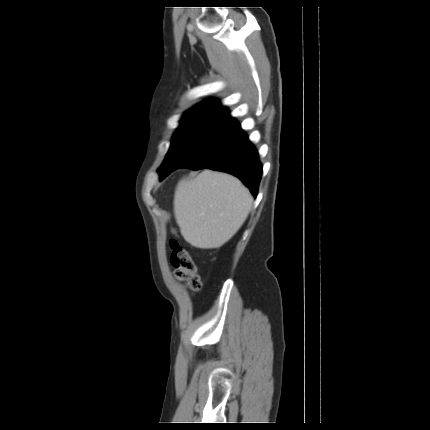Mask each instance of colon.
<instances>
[{
    "mask_svg": "<svg viewBox=\"0 0 430 430\" xmlns=\"http://www.w3.org/2000/svg\"><path fill=\"white\" fill-rule=\"evenodd\" d=\"M168 245L176 279L184 282L192 291H199L201 280L190 253L174 239H171Z\"/></svg>",
    "mask_w": 430,
    "mask_h": 430,
    "instance_id": "colon-1",
    "label": "colon"
}]
</instances>
